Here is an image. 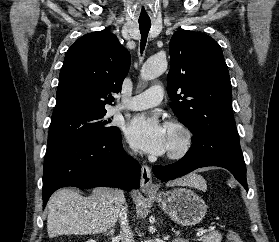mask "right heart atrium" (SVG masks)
<instances>
[{"mask_svg":"<svg viewBox=\"0 0 279 242\" xmlns=\"http://www.w3.org/2000/svg\"><path fill=\"white\" fill-rule=\"evenodd\" d=\"M136 149L135 148H133V147H131V149H130V154L132 155V156H135L136 155Z\"/></svg>","mask_w":279,"mask_h":242,"instance_id":"obj_1","label":"right heart atrium"}]
</instances>
